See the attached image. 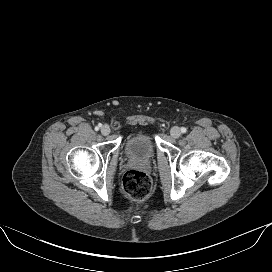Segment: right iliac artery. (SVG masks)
Returning <instances> with one entry per match:
<instances>
[{
	"label": "right iliac artery",
	"mask_w": 272,
	"mask_h": 272,
	"mask_svg": "<svg viewBox=\"0 0 272 272\" xmlns=\"http://www.w3.org/2000/svg\"><path fill=\"white\" fill-rule=\"evenodd\" d=\"M100 127H101V124H98V126L95 127V130L98 131Z\"/></svg>",
	"instance_id": "82829eb1"
}]
</instances>
